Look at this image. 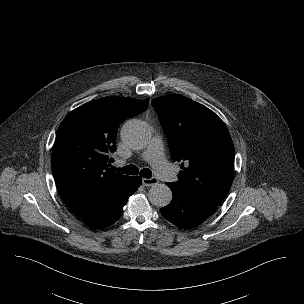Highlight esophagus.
Returning <instances> with one entry per match:
<instances>
[{"mask_svg": "<svg viewBox=\"0 0 304 304\" xmlns=\"http://www.w3.org/2000/svg\"><path fill=\"white\" fill-rule=\"evenodd\" d=\"M142 183L144 186L150 187L158 183V179L155 177L152 178H143Z\"/></svg>", "mask_w": 304, "mask_h": 304, "instance_id": "obj_1", "label": "esophagus"}]
</instances>
